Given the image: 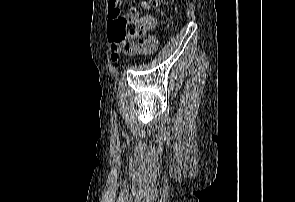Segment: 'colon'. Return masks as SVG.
<instances>
[{
	"mask_svg": "<svg viewBox=\"0 0 295 202\" xmlns=\"http://www.w3.org/2000/svg\"><path fill=\"white\" fill-rule=\"evenodd\" d=\"M155 3V2H154ZM148 20L141 17L136 9L122 15L111 26L110 40L114 48L127 44L138 47V52H146L152 45L141 40Z\"/></svg>",
	"mask_w": 295,
	"mask_h": 202,
	"instance_id": "1",
	"label": "colon"
}]
</instances>
